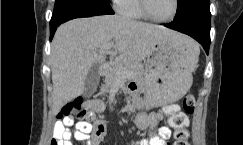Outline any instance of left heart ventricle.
<instances>
[{
  "label": "left heart ventricle",
  "mask_w": 243,
  "mask_h": 145,
  "mask_svg": "<svg viewBox=\"0 0 243 145\" xmlns=\"http://www.w3.org/2000/svg\"><path fill=\"white\" fill-rule=\"evenodd\" d=\"M151 15L157 19H167L174 8V0H147Z\"/></svg>",
  "instance_id": "obj_1"
}]
</instances>
